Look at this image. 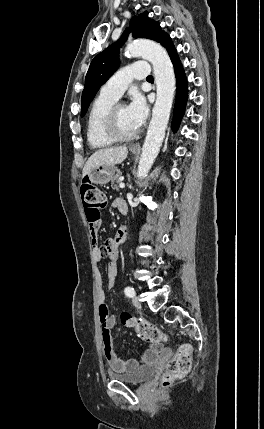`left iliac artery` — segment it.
<instances>
[{
	"label": "left iliac artery",
	"instance_id": "left-iliac-artery-1",
	"mask_svg": "<svg viewBox=\"0 0 264 429\" xmlns=\"http://www.w3.org/2000/svg\"><path fill=\"white\" fill-rule=\"evenodd\" d=\"M125 295L128 297H132V293L135 292L134 288L131 286H127L124 290Z\"/></svg>",
	"mask_w": 264,
	"mask_h": 429
}]
</instances>
